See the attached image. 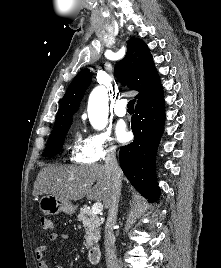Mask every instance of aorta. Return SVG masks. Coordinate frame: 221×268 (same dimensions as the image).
<instances>
[{
    "instance_id": "762f6f07",
    "label": "aorta",
    "mask_w": 221,
    "mask_h": 268,
    "mask_svg": "<svg viewBox=\"0 0 221 268\" xmlns=\"http://www.w3.org/2000/svg\"><path fill=\"white\" fill-rule=\"evenodd\" d=\"M88 117L94 129H103L108 121V94L103 86L95 87L88 100Z\"/></svg>"
}]
</instances>
